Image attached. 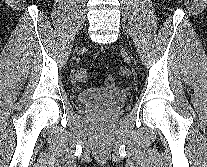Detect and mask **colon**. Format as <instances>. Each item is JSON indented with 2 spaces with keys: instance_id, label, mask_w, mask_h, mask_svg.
<instances>
[{
  "instance_id": "obj_1",
  "label": "colon",
  "mask_w": 207,
  "mask_h": 167,
  "mask_svg": "<svg viewBox=\"0 0 207 167\" xmlns=\"http://www.w3.org/2000/svg\"><path fill=\"white\" fill-rule=\"evenodd\" d=\"M92 74V71L85 68H80L76 71V79L80 82H86L89 76ZM120 74L123 77H128L130 75V71L128 68L122 67L120 69ZM104 83L107 87H113L115 85V78L113 76H108L104 79Z\"/></svg>"
}]
</instances>
